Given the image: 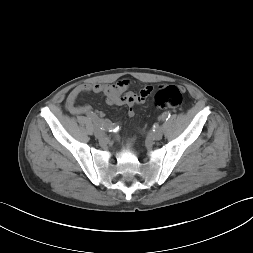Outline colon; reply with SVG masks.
Here are the masks:
<instances>
[{"mask_svg": "<svg viewBox=\"0 0 253 253\" xmlns=\"http://www.w3.org/2000/svg\"><path fill=\"white\" fill-rule=\"evenodd\" d=\"M154 104L159 109H177L182 104V92L173 85L160 88L154 96Z\"/></svg>", "mask_w": 253, "mask_h": 253, "instance_id": "colon-1", "label": "colon"}]
</instances>
